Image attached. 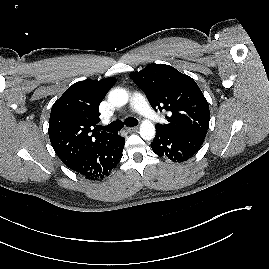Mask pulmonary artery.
<instances>
[{"label": "pulmonary artery", "instance_id": "obj_1", "mask_svg": "<svg viewBox=\"0 0 269 269\" xmlns=\"http://www.w3.org/2000/svg\"><path fill=\"white\" fill-rule=\"evenodd\" d=\"M131 108L147 119L155 120L156 114L150 108L145 97L140 93H134L131 97Z\"/></svg>", "mask_w": 269, "mask_h": 269}]
</instances>
